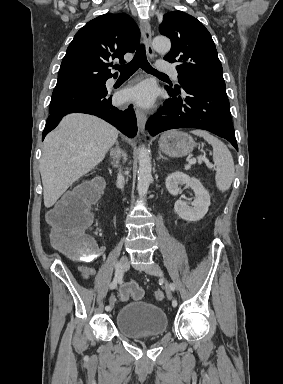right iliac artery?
<instances>
[{"label":"right iliac artery","mask_w":283,"mask_h":384,"mask_svg":"<svg viewBox=\"0 0 283 384\" xmlns=\"http://www.w3.org/2000/svg\"><path fill=\"white\" fill-rule=\"evenodd\" d=\"M122 278H123V270L120 267V264H117L114 279L109 286L110 289H115L117 287V284L122 281ZM105 309L106 311H108L110 309V306H106Z\"/></svg>","instance_id":"1"}]
</instances>
